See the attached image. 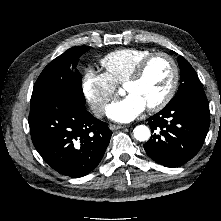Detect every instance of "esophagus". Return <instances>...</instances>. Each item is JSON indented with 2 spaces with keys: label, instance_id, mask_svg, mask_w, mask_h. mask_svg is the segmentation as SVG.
Wrapping results in <instances>:
<instances>
[{
  "label": "esophagus",
  "instance_id": "1",
  "mask_svg": "<svg viewBox=\"0 0 221 221\" xmlns=\"http://www.w3.org/2000/svg\"><path fill=\"white\" fill-rule=\"evenodd\" d=\"M126 126H124V125H115V124H110L109 125V128L111 129V130H118V129H123V128H125Z\"/></svg>",
  "mask_w": 221,
  "mask_h": 221
}]
</instances>
